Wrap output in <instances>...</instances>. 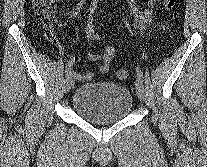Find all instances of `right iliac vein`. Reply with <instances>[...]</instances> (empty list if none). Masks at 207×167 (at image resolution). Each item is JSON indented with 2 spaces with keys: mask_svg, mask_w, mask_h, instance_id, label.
<instances>
[{
  "mask_svg": "<svg viewBox=\"0 0 207 167\" xmlns=\"http://www.w3.org/2000/svg\"><path fill=\"white\" fill-rule=\"evenodd\" d=\"M73 85V78L71 71L66 75L65 81H64V92L68 93Z\"/></svg>",
  "mask_w": 207,
  "mask_h": 167,
  "instance_id": "right-iliac-vein-1",
  "label": "right iliac vein"
}]
</instances>
